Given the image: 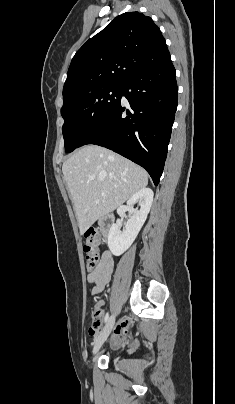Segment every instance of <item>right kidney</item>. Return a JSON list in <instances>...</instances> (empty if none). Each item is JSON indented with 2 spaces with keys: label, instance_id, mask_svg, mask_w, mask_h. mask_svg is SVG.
<instances>
[{
  "label": "right kidney",
  "instance_id": "ca27d5eb",
  "mask_svg": "<svg viewBox=\"0 0 235 404\" xmlns=\"http://www.w3.org/2000/svg\"><path fill=\"white\" fill-rule=\"evenodd\" d=\"M153 196L154 193L150 188H142L129 198L127 206L121 208V212H129V219L122 232L119 224H113L110 228L108 246L113 255L120 256L132 245L147 219ZM135 203L139 204V210L133 208Z\"/></svg>",
  "mask_w": 235,
  "mask_h": 404
}]
</instances>
